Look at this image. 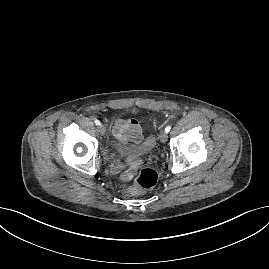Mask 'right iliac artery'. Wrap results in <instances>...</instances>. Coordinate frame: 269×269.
I'll list each match as a JSON object with an SVG mask.
<instances>
[{
	"instance_id": "right-iliac-artery-1",
	"label": "right iliac artery",
	"mask_w": 269,
	"mask_h": 269,
	"mask_svg": "<svg viewBox=\"0 0 269 269\" xmlns=\"http://www.w3.org/2000/svg\"><path fill=\"white\" fill-rule=\"evenodd\" d=\"M95 124L96 125H100V121L99 120H95Z\"/></svg>"
}]
</instances>
